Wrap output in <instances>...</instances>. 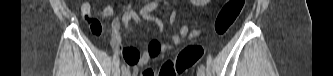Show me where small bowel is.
Returning <instances> with one entry per match:
<instances>
[{"label": "small bowel", "mask_w": 333, "mask_h": 76, "mask_svg": "<svg viewBox=\"0 0 333 76\" xmlns=\"http://www.w3.org/2000/svg\"><path fill=\"white\" fill-rule=\"evenodd\" d=\"M81 13L84 17V20L89 24L90 30L93 33L94 39H99L100 34L102 33V25L98 19L93 17L92 8L89 2H84L81 5ZM114 7L111 4H107L100 11L99 16L101 18H108L113 16ZM142 16L147 20H150L158 25L160 31L162 30V23L157 18L147 14V12H143ZM134 19L136 22H139L140 19L136 15L133 10H127L121 19L114 18L111 23V46L114 50H118L120 48V36L119 32L122 27L129 29V21ZM200 34L198 30L190 31L187 25L181 27L179 34L170 35L168 37L170 42H160L157 39H152L143 54V56L139 57L141 53V48L137 47L136 44H125L123 55L127 63H129L136 75L141 67L146 66L150 61L157 58L159 55L164 54L166 52L174 49L175 46H178L185 42L188 39H193ZM142 74V73H141ZM154 76V75H153Z\"/></svg>", "instance_id": "small-bowel-1"}]
</instances>
